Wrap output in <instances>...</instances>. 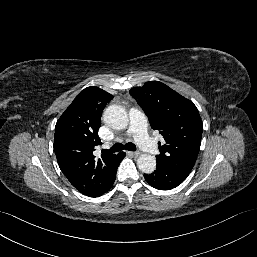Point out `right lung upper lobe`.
<instances>
[{"label":"right lung upper lobe","instance_id":"right-lung-upper-lobe-1","mask_svg":"<svg viewBox=\"0 0 257 257\" xmlns=\"http://www.w3.org/2000/svg\"><path fill=\"white\" fill-rule=\"evenodd\" d=\"M113 96L97 88L80 92L61 115L55 126L54 151L59 167L81 193L95 197L106 186L116 154H103L98 160L93 152L100 145L98 130L101 114Z\"/></svg>","mask_w":257,"mask_h":257}]
</instances>
